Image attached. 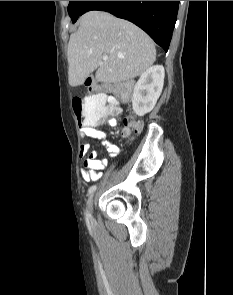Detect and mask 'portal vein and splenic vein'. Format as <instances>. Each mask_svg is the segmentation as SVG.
Segmentation results:
<instances>
[{"label":"portal vein and splenic vein","mask_w":233,"mask_h":295,"mask_svg":"<svg viewBox=\"0 0 233 295\" xmlns=\"http://www.w3.org/2000/svg\"><path fill=\"white\" fill-rule=\"evenodd\" d=\"M102 59H103V60H108V56H107V55H104V56L102 57Z\"/></svg>","instance_id":"1"}]
</instances>
